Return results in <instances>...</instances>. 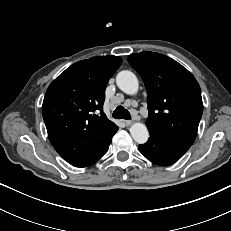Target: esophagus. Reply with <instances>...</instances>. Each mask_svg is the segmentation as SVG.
Wrapping results in <instances>:
<instances>
[{
  "mask_svg": "<svg viewBox=\"0 0 231 231\" xmlns=\"http://www.w3.org/2000/svg\"><path fill=\"white\" fill-rule=\"evenodd\" d=\"M123 122L125 123L126 126H130L133 124L132 120H124Z\"/></svg>",
  "mask_w": 231,
  "mask_h": 231,
  "instance_id": "1",
  "label": "esophagus"
}]
</instances>
